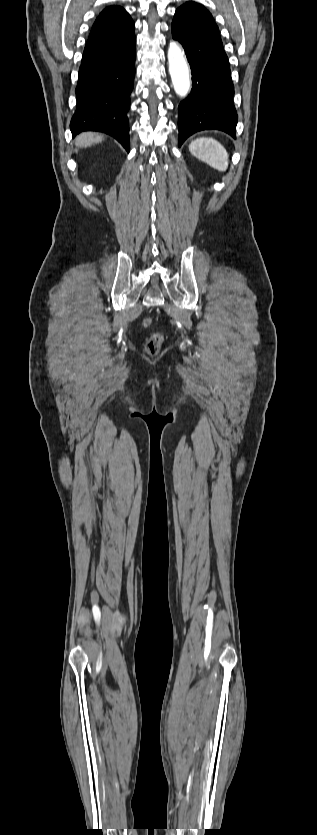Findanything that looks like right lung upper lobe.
<instances>
[{
    "label": "right lung upper lobe",
    "instance_id": "1",
    "mask_svg": "<svg viewBox=\"0 0 317 835\" xmlns=\"http://www.w3.org/2000/svg\"><path fill=\"white\" fill-rule=\"evenodd\" d=\"M134 33V22L120 6H109L97 17L89 38L97 36L105 43H117Z\"/></svg>",
    "mask_w": 317,
    "mask_h": 835
}]
</instances>
